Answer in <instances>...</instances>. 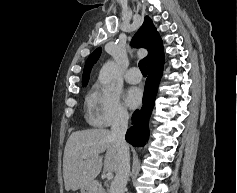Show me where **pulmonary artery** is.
<instances>
[{"instance_id":"pulmonary-artery-1","label":"pulmonary artery","mask_w":237,"mask_h":193,"mask_svg":"<svg viewBox=\"0 0 237 193\" xmlns=\"http://www.w3.org/2000/svg\"><path fill=\"white\" fill-rule=\"evenodd\" d=\"M125 79L129 83L136 84L142 80V75L139 72L138 68L132 67L127 71Z\"/></svg>"}]
</instances>
